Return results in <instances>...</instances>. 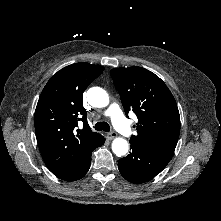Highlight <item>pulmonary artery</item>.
I'll return each instance as SVG.
<instances>
[{"instance_id":"e3ab8cb5","label":"pulmonary artery","mask_w":221,"mask_h":221,"mask_svg":"<svg viewBox=\"0 0 221 221\" xmlns=\"http://www.w3.org/2000/svg\"><path fill=\"white\" fill-rule=\"evenodd\" d=\"M105 115L109 116L113 122L114 127L125 137L132 135V129L125 117L122 114L119 106L116 103H112L105 111Z\"/></svg>"}]
</instances>
